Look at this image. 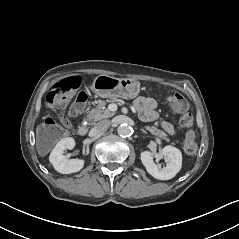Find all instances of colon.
<instances>
[{
	"instance_id": "colon-1",
	"label": "colon",
	"mask_w": 239,
	"mask_h": 239,
	"mask_svg": "<svg viewBox=\"0 0 239 239\" xmlns=\"http://www.w3.org/2000/svg\"><path fill=\"white\" fill-rule=\"evenodd\" d=\"M81 78L71 76L64 78L54 84L51 91L46 96L47 104L51 107L63 105L66 100L80 87ZM87 102V94L79 92L74 104L70 108V116H78L84 109ZM170 107L174 113L181 114L180 123L186 129L184 150L188 155H193L197 151L196 132L193 128V116L189 112L187 100L179 93L170 97ZM42 137L46 142H54L60 139L64 132L51 118H47L41 129Z\"/></svg>"
}]
</instances>
